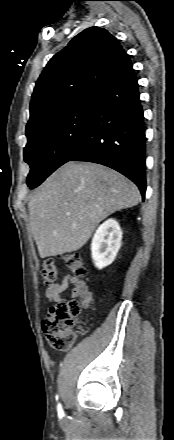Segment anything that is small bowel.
Here are the masks:
<instances>
[{
    "mask_svg": "<svg viewBox=\"0 0 174 440\" xmlns=\"http://www.w3.org/2000/svg\"><path fill=\"white\" fill-rule=\"evenodd\" d=\"M68 290L69 294L66 295ZM75 297L82 298V306L87 308L92 294L84 280L70 274H66L60 282L49 286L45 291L46 303H65Z\"/></svg>",
    "mask_w": 174,
    "mask_h": 440,
    "instance_id": "1",
    "label": "small bowel"
}]
</instances>
